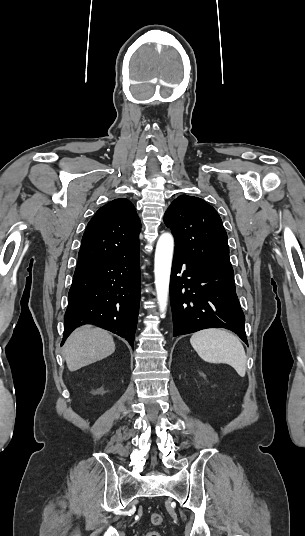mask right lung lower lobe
<instances>
[{"label":"right lung lower lobe","mask_w":305,"mask_h":536,"mask_svg":"<svg viewBox=\"0 0 305 536\" xmlns=\"http://www.w3.org/2000/svg\"><path fill=\"white\" fill-rule=\"evenodd\" d=\"M139 302V252L76 268L62 344L78 326L93 324L125 338L133 347Z\"/></svg>","instance_id":"1"}]
</instances>
